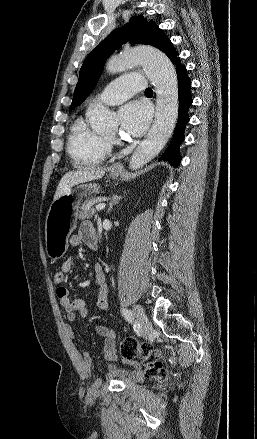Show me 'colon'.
<instances>
[{"label":"colon","instance_id":"colon-1","mask_svg":"<svg viewBox=\"0 0 257 439\" xmlns=\"http://www.w3.org/2000/svg\"><path fill=\"white\" fill-rule=\"evenodd\" d=\"M64 274L57 271L54 274L55 283H62ZM119 352L122 357L132 359L140 357L146 367L145 374L148 378L162 382L167 378V370L163 364L162 354L149 344H140L133 338H125L119 343Z\"/></svg>","mask_w":257,"mask_h":439}]
</instances>
